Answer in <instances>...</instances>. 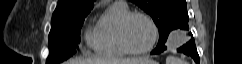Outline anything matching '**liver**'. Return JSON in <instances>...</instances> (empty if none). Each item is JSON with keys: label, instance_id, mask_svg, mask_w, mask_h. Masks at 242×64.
Wrapping results in <instances>:
<instances>
[{"label": "liver", "instance_id": "obj_1", "mask_svg": "<svg viewBox=\"0 0 242 64\" xmlns=\"http://www.w3.org/2000/svg\"><path fill=\"white\" fill-rule=\"evenodd\" d=\"M147 58L132 59H82L75 58L67 61L65 64H142L148 62Z\"/></svg>", "mask_w": 242, "mask_h": 64}]
</instances>
